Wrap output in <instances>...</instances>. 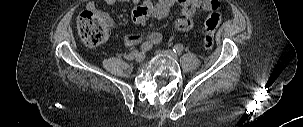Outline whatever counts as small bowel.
Segmentation results:
<instances>
[{
    "mask_svg": "<svg viewBox=\"0 0 303 127\" xmlns=\"http://www.w3.org/2000/svg\"><path fill=\"white\" fill-rule=\"evenodd\" d=\"M107 5L116 3L132 6V20L136 25H144L149 19H164L171 10V7L178 3L181 5V10L175 20V26L180 31H189L193 28L195 16L200 10H211L212 8H220L218 0H145L143 5H140L142 0H103ZM87 10H96V4L92 1L86 5ZM100 16L112 25L113 21L109 14L100 12ZM156 45L161 41V35L158 32H150L146 36L141 33H132L125 37L124 44L126 46H134L141 42Z\"/></svg>",
    "mask_w": 303,
    "mask_h": 127,
    "instance_id": "c3829d8e",
    "label": "small bowel"
}]
</instances>
